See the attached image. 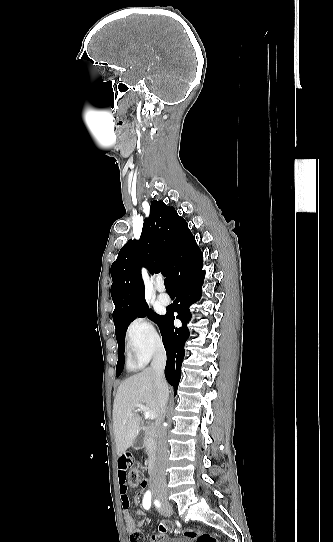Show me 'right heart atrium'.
<instances>
[{"mask_svg":"<svg viewBox=\"0 0 333 542\" xmlns=\"http://www.w3.org/2000/svg\"><path fill=\"white\" fill-rule=\"evenodd\" d=\"M129 348L136 349L146 358L157 353L161 346V335L155 323L147 317H139L129 326L126 334Z\"/></svg>","mask_w":333,"mask_h":542,"instance_id":"d8ad5b80","label":"right heart atrium"}]
</instances>
